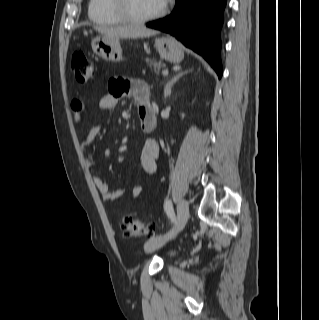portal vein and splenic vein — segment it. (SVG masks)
<instances>
[{"label":"portal vein and splenic vein","mask_w":319,"mask_h":320,"mask_svg":"<svg viewBox=\"0 0 319 320\" xmlns=\"http://www.w3.org/2000/svg\"><path fill=\"white\" fill-rule=\"evenodd\" d=\"M162 74H163L164 76H167V75H168V70H163V71H162Z\"/></svg>","instance_id":"18ae733b"}]
</instances>
